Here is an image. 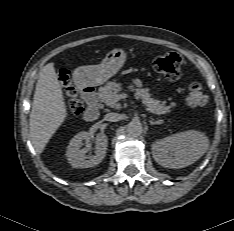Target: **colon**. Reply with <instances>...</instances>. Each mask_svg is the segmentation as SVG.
<instances>
[{
	"instance_id": "obj_1",
	"label": "colon",
	"mask_w": 234,
	"mask_h": 231,
	"mask_svg": "<svg viewBox=\"0 0 234 231\" xmlns=\"http://www.w3.org/2000/svg\"><path fill=\"white\" fill-rule=\"evenodd\" d=\"M183 60L177 53H167L157 57L153 62L154 69L162 73L170 80H176L181 75ZM64 78L63 93L66 101V106L69 115L72 118H77L83 110L82 103L78 97L76 89L67 83V72L62 74ZM208 103V97L198 84H192L189 87L188 93L185 97V104L190 109L204 108Z\"/></svg>"
}]
</instances>
